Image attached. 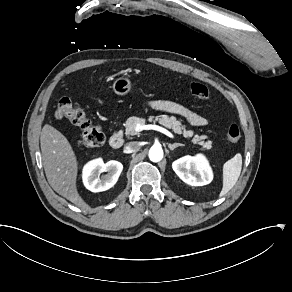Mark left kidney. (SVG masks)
Instances as JSON below:
<instances>
[{"label":"left kidney","mask_w":292,"mask_h":292,"mask_svg":"<svg viewBox=\"0 0 292 292\" xmlns=\"http://www.w3.org/2000/svg\"><path fill=\"white\" fill-rule=\"evenodd\" d=\"M182 181L192 186H204L212 181V172L202 156L183 157L172 165Z\"/></svg>","instance_id":"5707ae66"}]
</instances>
